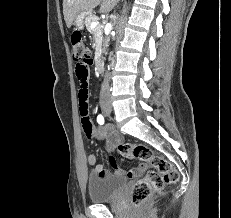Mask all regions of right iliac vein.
<instances>
[{
  "label": "right iliac vein",
  "instance_id": "obj_1",
  "mask_svg": "<svg viewBox=\"0 0 231 218\" xmlns=\"http://www.w3.org/2000/svg\"><path fill=\"white\" fill-rule=\"evenodd\" d=\"M102 110L105 114H109L111 112V107L110 106H103Z\"/></svg>",
  "mask_w": 231,
  "mask_h": 218
}]
</instances>
